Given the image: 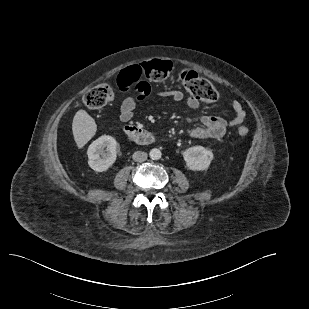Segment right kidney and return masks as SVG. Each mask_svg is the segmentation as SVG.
I'll return each mask as SVG.
<instances>
[{
    "mask_svg": "<svg viewBox=\"0 0 309 309\" xmlns=\"http://www.w3.org/2000/svg\"><path fill=\"white\" fill-rule=\"evenodd\" d=\"M87 154L89 166L96 172H105L116 161L117 142L112 136L103 135L90 144Z\"/></svg>",
    "mask_w": 309,
    "mask_h": 309,
    "instance_id": "obj_1",
    "label": "right kidney"
}]
</instances>
